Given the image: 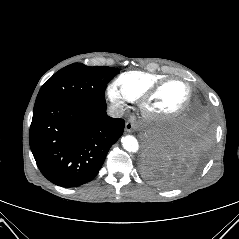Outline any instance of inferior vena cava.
Returning <instances> with one entry per match:
<instances>
[{"label":"inferior vena cava","mask_w":239,"mask_h":239,"mask_svg":"<svg viewBox=\"0 0 239 239\" xmlns=\"http://www.w3.org/2000/svg\"><path fill=\"white\" fill-rule=\"evenodd\" d=\"M125 109L123 108V106H118V105H110L107 108V114L110 117L113 118H120L123 116Z\"/></svg>","instance_id":"obj_1"}]
</instances>
